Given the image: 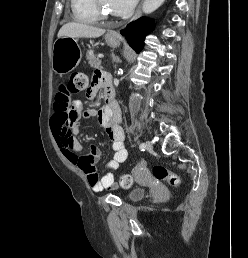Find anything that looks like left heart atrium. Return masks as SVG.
<instances>
[{
	"label": "left heart atrium",
	"mask_w": 248,
	"mask_h": 258,
	"mask_svg": "<svg viewBox=\"0 0 248 258\" xmlns=\"http://www.w3.org/2000/svg\"><path fill=\"white\" fill-rule=\"evenodd\" d=\"M137 0H107L108 8L118 16L127 15L136 5Z\"/></svg>",
	"instance_id": "39dd6f15"
}]
</instances>
